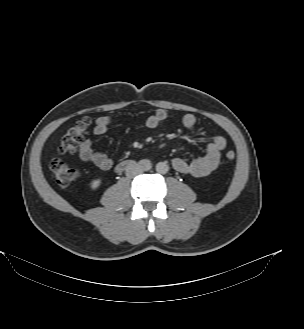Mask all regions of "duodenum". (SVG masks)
Here are the masks:
<instances>
[{"label":"duodenum","mask_w":304,"mask_h":329,"mask_svg":"<svg viewBox=\"0 0 304 329\" xmlns=\"http://www.w3.org/2000/svg\"><path fill=\"white\" fill-rule=\"evenodd\" d=\"M136 167V164L133 161L130 160H124L121 161L120 163H118V165L116 166V171L117 172H123L126 170H130Z\"/></svg>","instance_id":"1"}]
</instances>
